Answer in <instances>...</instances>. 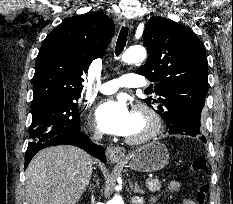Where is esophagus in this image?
<instances>
[{
    "mask_svg": "<svg viewBox=\"0 0 233 204\" xmlns=\"http://www.w3.org/2000/svg\"><path fill=\"white\" fill-rule=\"evenodd\" d=\"M124 25L128 26L129 29L133 28V22L131 20H126L123 23ZM126 154V150L123 147L119 146H109L106 149V156L111 160V161H121L124 159Z\"/></svg>",
    "mask_w": 233,
    "mask_h": 204,
    "instance_id": "obj_1",
    "label": "esophagus"
}]
</instances>
